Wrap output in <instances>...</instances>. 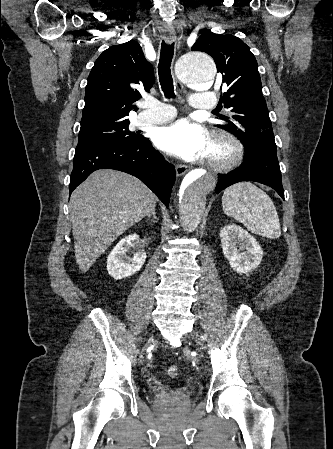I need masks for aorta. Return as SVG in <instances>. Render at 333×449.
<instances>
[{
	"instance_id": "aorta-1",
	"label": "aorta",
	"mask_w": 333,
	"mask_h": 449,
	"mask_svg": "<svg viewBox=\"0 0 333 449\" xmlns=\"http://www.w3.org/2000/svg\"><path fill=\"white\" fill-rule=\"evenodd\" d=\"M180 80L196 90H208L216 76L213 59L205 52L183 56L178 65ZM216 186L215 176L202 170L189 172L178 188L180 218L188 231L197 228L206 206V196Z\"/></svg>"
}]
</instances>
